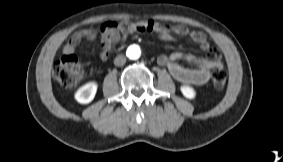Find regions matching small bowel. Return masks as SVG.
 Returning <instances> with one entry per match:
<instances>
[{"mask_svg": "<svg viewBox=\"0 0 283 162\" xmlns=\"http://www.w3.org/2000/svg\"><path fill=\"white\" fill-rule=\"evenodd\" d=\"M152 32L158 35L161 40L172 41L175 35L189 37L192 41L199 44L200 48L208 53V57H198L191 53L176 51L170 55H160L158 63L165 66L171 75L179 82L203 85L207 83L211 77V73L222 68L220 61V53L217 49H212L207 36L202 31L190 30L182 24L167 25L154 20L146 21H129L107 22L103 26L100 35L102 50L100 58L107 60L112 52L113 46L124 41L128 35L134 33ZM97 33L93 29H82L75 31L67 43L63 51L66 55L73 54L76 46L82 39L95 40ZM186 61L193 64L195 67H186L179 61Z\"/></svg>", "mask_w": 283, "mask_h": 162, "instance_id": "small-bowel-1", "label": "small bowel"}]
</instances>
